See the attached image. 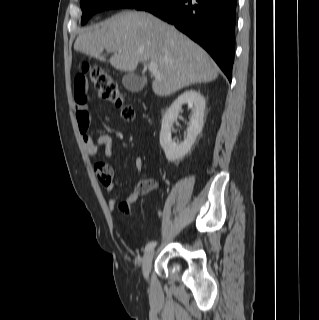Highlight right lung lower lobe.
I'll return each mask as SVG.
<instances>
[{"label":"right lung lower lobe","mask_w":319,"mask_h":320,"mask_svg":"<svg viewBox=\"0 0 319 320\" xmlns=\"http://www.w3.org/2000/svg\"><path fill=\"white\" fill-rule=\"evenodd\" d=\"M236 6L237 0H152L136 9L175 25L200 44L231 81Z\"/></svg>","instance_id":"obj_1"}]
</instances>
